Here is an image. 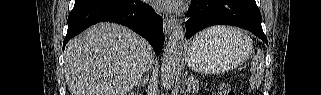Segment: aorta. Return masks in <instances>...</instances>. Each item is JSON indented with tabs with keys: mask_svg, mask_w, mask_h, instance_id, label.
Listing matches in <instances>:
<instances>
[{
	"mask_svg": "<svg viewBox=\"0 0 321 95\" xmlns=\"http://www.w3.org/2000/svg\"><path fill=\"white\" fill-rule=\"evenodd\" d=\"M184 37V26L181 24H176L168 39L162 58L161 81L166 89L171 88L178 75L181 64Z\"/></svg>",
	"mask_w": 321,
	"mask_h": 95,
	"instance_id": "aorta-1",
	"label": "aorta"
}]
</instances>
